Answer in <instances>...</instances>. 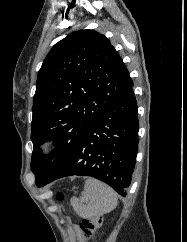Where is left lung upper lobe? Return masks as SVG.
<instances>
[{
  "instance_id": "5c2ea615",
  "label": "left lung upper lobe",
  "mask_w": 187,
  "mask_h": 242,
  "mask_svg": "<svg viewBox=\"0 0 187 242\" xmlns=\"http://www.w3.org/2000/svg\"><path fill=\"white\" fill-rule=\"evenodd\" d=\"M132 86L122 58L104 35L80 30L55 44L38 72L33 99L35 177L62 163L92 122ZM48 140L56 149L42 156L40 145Z\"/></svg>"
}]
</instances>
